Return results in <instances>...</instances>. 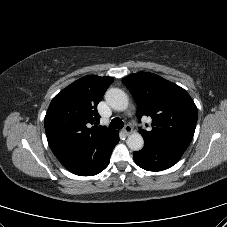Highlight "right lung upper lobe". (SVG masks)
I'll use <instances>...</instances> for the list:
<instances>
[{
  "label": "right lung upper lobe",
  "mask_w": 227,
  "mask_h": 227,
  "mask_svg": "<svg viewBox=\"0 0 227 227\" xmlns=\"http://www.w3.org/2000/svg\"><path fill=\"white\" fill-rule=\"evenodd\" d=\"M112 82V77L88 75L53 98L44 125L49 146L56 157L78 153L116 132L97 123L100 121L97 105Z\"/></svg>",
  "instance_id": "cb5924a9"
}]
</instances>
